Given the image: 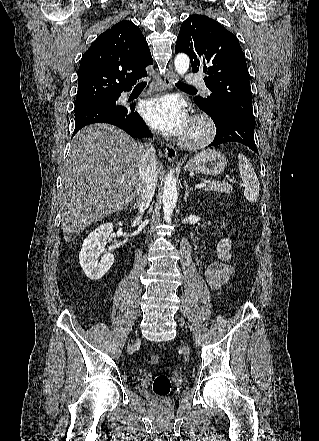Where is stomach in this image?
Listing matches in <instances>:
<instances>
[{
	"label": "stomach",
	"instance_id": "stomach-1",
	"mask_svg": "<svg viewBox=\"0 0 319 441\" xmlns=\"http://www.w3.org/2000/svg\"><path fill=\"white\" fill-rule=\"evenodd\" d=\"M227 165L226 157L219 151L207 149L192 157L185 170L206 175H219Z\"/></svg>",
	"mask_w": 319,
	"mask_h": 441
}]
</instances>
